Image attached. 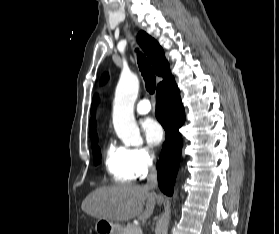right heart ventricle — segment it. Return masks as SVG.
<instances>
[{
	"mask_svg": "<svg viewBox=\"0 0 279 234\" xmlns=\"http://www.w3.org/2000/svg\"><path fill=\"white\" fill-rule=\"evenodd\" d=\"M104 164L110 177L117 183H129L137 178L128 147L109 143L105 149Z\"/></svg>",
	"mask_w": 279,
	"mask_h": 234,
	"instance_id": "obj_1",
	"label": "right heart ventricle"
}]
</instances>
